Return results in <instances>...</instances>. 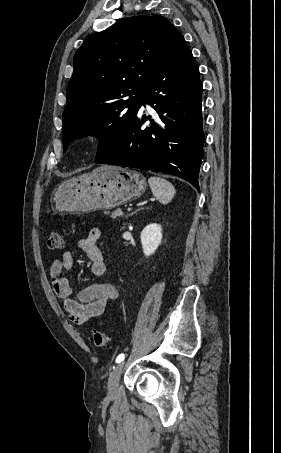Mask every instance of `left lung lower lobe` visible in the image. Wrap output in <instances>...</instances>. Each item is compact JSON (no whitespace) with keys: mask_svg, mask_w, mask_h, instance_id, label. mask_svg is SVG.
<instances>
[{"mask_svg":"<svg viewBox=\"0 0 281 453\" xmlns=\"http://www.w3.org/2000/svg\"><path fill=\"white\" fill-rule=\"evenodd\" d=\"M201 93L197 64L182 35H176L141 102L151 105L162 122L151 120L141 130L146 116L140 121L136 115L119 141L96 163L170 173L199 190L205 140Z\"/></svg>","mask_w":281,"mask_h":453,"instance_id":"1","label":"left lung lower lobe"}]
</instances>
